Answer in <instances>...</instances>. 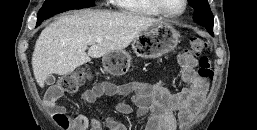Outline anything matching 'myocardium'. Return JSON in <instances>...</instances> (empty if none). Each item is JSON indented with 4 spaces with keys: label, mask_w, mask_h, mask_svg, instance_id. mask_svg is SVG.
Segmentation results:
<instances>
[{
    "label": "myocardium",
    "mask_w": 257,
    "mask_h": 130,
    "mask_svg": "<svg viewBox=\"0 0 257 130\" xmlns=\"http://www.w3.org/2000/svg\"><path fill=\"white\" fill-rule=\"evenodd\" d=\"M152 5L163 15L168 16V17H178L180 15H182L188 6V0H183V8L181 9V11L177 12V13H172L167 11L163 5L161 4L160 0H151Z\"/></svg>",
    "instance_id": "1"
}]
</instances>
